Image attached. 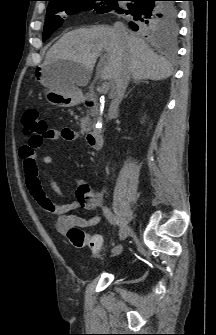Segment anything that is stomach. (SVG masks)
Returning a JSON list of instances; mask_svg holds the SVG:
<instances>
[{"instance_id": "obj_1", "label": "stomach", "mask_w": 216, "mask_h": 335, "mask_svg": "<svg viewBox=\"0 0 216 335\" xmlns=\"http://www.w3.org/2000/svg\"><path fill=\"white\" fill-rule=\"evenodd\" d=\"M80 67L73 62H57L51 66L37 69L39 80L47 87L45 98L48 103L58 107H72L82 100V95L67 79V70Z\"/></svg>"}]
</instances>
